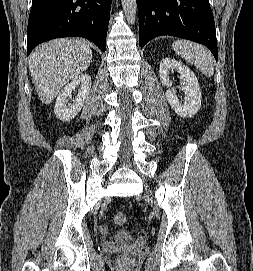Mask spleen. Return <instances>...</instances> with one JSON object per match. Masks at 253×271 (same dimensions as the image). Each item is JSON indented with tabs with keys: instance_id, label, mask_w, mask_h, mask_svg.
Instances as JSON below:
<instances>
[{
	"instance_id": "spleen-1",
	"label": "spleen",
	"mask_w": 253,
	"mask_h": 271,
	"mask_svg": "<svg viewBox=\"0 0 253 271\" xmlns=\"http://www.w3.org/2000/svg\"><path fill=\"white\" fill-rule=\"evenodd\" d=\"M174 51L189 64H193L204 75L214 74L213 57L202 45L187 40H177L172 44Z\"/></svg>"
}]
</instances>
